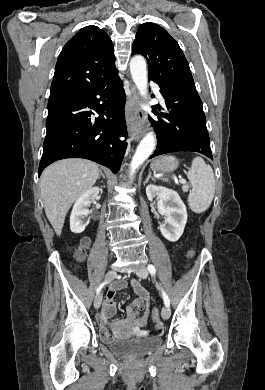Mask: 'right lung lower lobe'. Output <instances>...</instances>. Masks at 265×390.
<instances>
[{
	"label": "right lung lower lobe",
	"instance_id": "right-lung-lower-lobe-1",
	"mask_svg": "<svg viewBox=\"0 0 265 390\" xmlns=\"http://www.w3.org/2000/svg\"><path fill=\"white\" fill-rule=\"evenodd\" d=\"M124 105L125 92L117 69L86 87L49 97L38 174L64 158H86L117 173L126 150V142L119 139L127 136ZM89 109L99 117L91 118Z\"/></svg>",
	"mask_w": 265,
	"mask_h": 390
}]
</instances>
